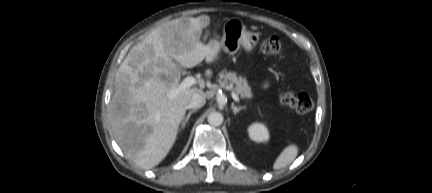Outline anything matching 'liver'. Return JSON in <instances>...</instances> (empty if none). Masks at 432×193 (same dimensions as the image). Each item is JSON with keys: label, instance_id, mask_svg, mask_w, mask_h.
Masks as SVG:
<instances>
[{"label": "liver", "instance_id": "obj_1", "mask_svg": "<svg viewBox=\"0 0 432 193\" xmlns=\"http://www.w3.org/2000/svg\"><path fill=\"white\" fill-rule=\"evenodd\" d=\"M208 16L178 18L153 30L134 46L115 77L109 118L115 140L143 169L158 165L169 153L191 97L202 93L187 88L175 97L169 93L180 79L178 66L192 68L204 59L211 63L222 47L218 40L200 41ZM212 72L205 71L210 77Z\"/></svg>", "mask_w": 432, "mask_h": 193}]
</instances>
